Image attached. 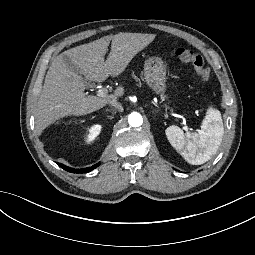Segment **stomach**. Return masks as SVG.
Returning <instances> with one entry per match:
<instances>
[{"label":"stomach","mask_w":255,"mask_h":255,"mask_svg":"<svg viewBox=\"0 0 255 255\" xmlns=\"http://www.w3.org/2000/svg\"><path fill=\"white\" fill-rule=\"evenodd\" d=\"M144 80L147 86L158 95H163L167 90L166 68L163 65L146 67Z\"/></svg>","instance_id":"obj_1"}]
</instances>
